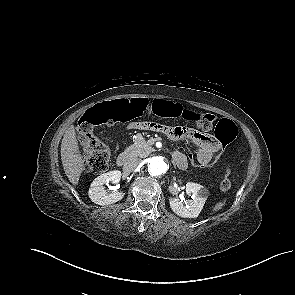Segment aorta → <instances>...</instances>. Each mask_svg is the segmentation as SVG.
I'll list each match as a JSON object with an SVG mask.
<instances>
[{
    "mask_svg": "<svg viewBox=\"0 0 295 295\" xmlns=\"http://www.w3.org/2000/svg\"><path fill=\"white\" fill-rule=\"evenodd\" d=\"M168 170L166 160L161 156L152 157L148 164V172L152 176L164 175Z\"/></svg>",
    "mask_w": 295,
    "mask_h": 295,
    "instance_id": "762f6f07",
    "label": "aorta"
}]
</instances>
